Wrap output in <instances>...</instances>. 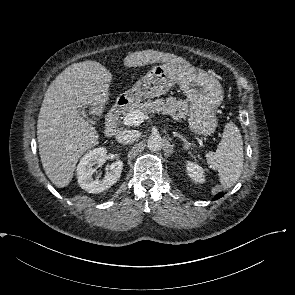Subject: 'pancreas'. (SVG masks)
<instances>
[{
  "mask_svg": "<svg viewBox=\"0 0 295 295\" xmlns=\"http://www.w3.org/2000/svg\"><path fill=\"white\" fill-rule=\"evenodd\" d=\"M188 104L185 101L177 100L175 97H169L166 100L164 99H156L155 101L148 100L144 103H138L132 105L125 116L131 114L137 110L141 111L145 114L150 113H162L169 114L171 116H175L176 119H185L188 115Z\"/></svg>",
  "mask_w": 295,
  "mask_h": 295,
  "instance_id": "pancreas-1",
  "label": "pancreas"
}]
</instances>
